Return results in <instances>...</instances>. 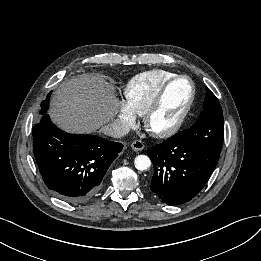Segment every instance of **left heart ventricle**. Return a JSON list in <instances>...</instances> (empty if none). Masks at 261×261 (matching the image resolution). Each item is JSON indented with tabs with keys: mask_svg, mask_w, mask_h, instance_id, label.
Returning <instances> with one entry per match:
<instances>
[{
	"mask_svg": "<svg viewBox=\"0 0 261 261\" xmlns=\"http://www.w3.org/2000/svg\"><path fill=\"white\" fill-rule=\"evenodd\" d=\"M191 95V85L187 79L175 82L168 90L158 112L151 120V127L163 130L171 127L185 109Z\"/></svg>",
	"mask_w": 261,
	"mask_h": 261,
	"instance_id": "1",
	"label": "left heart ventricle"
}]
</instances>
